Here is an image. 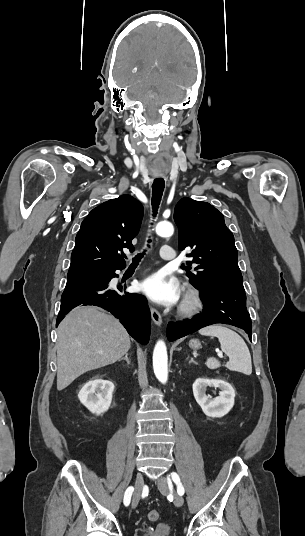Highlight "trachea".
Returning <instances> with one entry per match:
<instances>
[{"mask_svg":"<svg viewBox=\"0 0 305 536\" xmlns=\"http://www.w3.org/2000/svg\"><path fill=\"white\" fill-rule=\"evenodd\" d=\"M164 188H165L164 179L163 178H155L154 181H153V184H152V199H151V205H152V209H153V216H156V214H157V211H158L161 199H162ZM148 243H151L150 239L148 240ZM147 246L150 248L149 244ZM145 251L146 250H144L143 253H138V255H136L134 258H132V263H139V261H141V258H143L144 254H145Z\"/></svg>","mask_w":305,"mask_h":536,"instance_id":"trachea-1","label":"trachea"}]
</instances>
